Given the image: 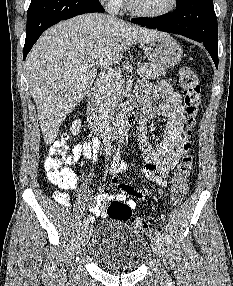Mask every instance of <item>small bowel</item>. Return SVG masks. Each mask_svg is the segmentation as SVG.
Listing matches in <instances>:
<instances>
[{"label": "small bowel", "mask_w": 233, "mask_h": 286, "mask_svg": "<svg viewBox=\"0 0 233 286\" xmlns=\"http://www.w3.org/2000/svg\"><path fill=\"white\" fill-rule=\"evenodd\" d=\"M136 97L143 105L144 119L165 117L168 120L165 135L157 147H153L147 141L143 129L139 131L140 145L145 156L143 172L152 182L160 187H165L167 185V177L186 154L183 144L189 139L181 97L166 80L157 86L148 83L140 84L137 88ZM99 148L100 140L97 137H93L83 144L75 146L68 157L67 163L73 164L80 158L97 163ZM124 169L125 164L122 163L117 173ZM112 183L119 189V193L114 198L125 202L131 209L136 207L135 199H141L144 196L133 185L120 182L117 177L112 178ZM54 197L61 205L68 206L65 192L56 191ZM109 198H112V196L100 194L95 199H88V203L91 205L95 215L101 214L102 204Z\"/></svg>", "instance_id": "c3829d8e"}]
</instances>
